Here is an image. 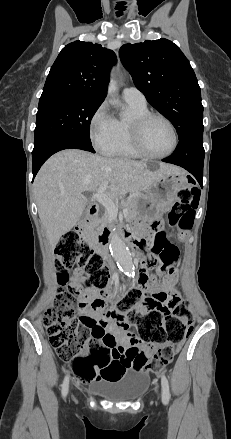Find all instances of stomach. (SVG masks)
<instances>
[{"label":"stomach","mask_w":231,"mask_h":439,"mask_svg":"<svg viewBox=\"0 0 231 439\" xmlns=\"http://www.w3.org/2000/svg\"><path fill=\"white\" fill-rule=\"evenodd\" d=\"M192 179L185 172L167 174L139 194V212L150 218L161 216L178 200L180 190L189 188Z\"/></svg>","instance_id":"obj_1"}]
</instances>
